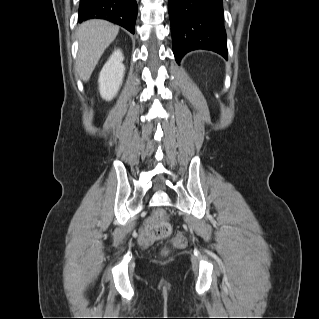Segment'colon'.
Instances as JSON below:
<instances>
[{
  "label": "colon",
  "instance_id": "5ec220e1",
  "mask_svg": "<svg viewBox=\"0 0 319 319\" xmlns=\"http://www.w3.org/2000/svg\"><path fill=\"white\" fill-rule=\"evenodd\" d=\"M148 227L151 230L153 238L157 241L167 239L171 233V224L163 210L157 211L154 216L150 218ZM186 243V237L181 233L176 234L171 239L172 246L177 248H184Z\"/></svg>",
  "mask_w": 319,
  "mask_h": 319
}]
</instances>
